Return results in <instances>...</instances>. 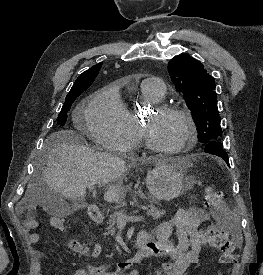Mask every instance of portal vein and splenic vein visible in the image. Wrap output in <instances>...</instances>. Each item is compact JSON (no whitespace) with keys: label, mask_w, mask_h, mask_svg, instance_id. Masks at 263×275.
Returning <instances> with one entry per match:
<instances>
[{"label":"portal vein and splenic vein","mask_w":263,"mask_h":275,"mask_svg":"<svg viewBox=\"0 0 263 275\" xmlns=\"http://www.w3.org/2000/svg\"><path fill=\"white\" fill-rule=\"evenodd\" d=\"M88 188L90 190H93L94 189V185L93 184H89L88 185ZM144 218L142 216H128V215H125V214H122V213H119L118 214V217H117V222L119 224H126L127 222L131 221H141L143 220Z\"/></svg>","instance_id":"obj_1"}]
</instances>
